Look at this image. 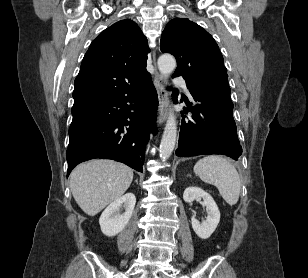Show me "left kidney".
I'll return each mask as SVG.
<instances>
[{"instance_id": "1", "label": "left kidney", "mask_w": 308, "mask_h": 278, "mask_svg": "<svg viewBox=\"0 0 308 278\" xmlns=\"http://www.w3.org/2000/svg\"><path fill=\"white\" fill-rule=\"evenodd\" d=\"M202 198L206 207L207 218L200 223L195 216L191 218L192 228L201 239H208L215 231L220 221V211L210 194L198 187H189L183 193V199L187 203Z\"/></svg>"}]
</instances>
